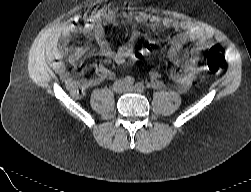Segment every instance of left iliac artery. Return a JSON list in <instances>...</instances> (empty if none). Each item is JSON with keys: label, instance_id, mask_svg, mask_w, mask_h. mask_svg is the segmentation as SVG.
<instances>
[{"label": "left iliac artery", "instance_id": "obj_1", "mask_svg": "<svg viewBox=\"0 0 251 192\" xmlns=\"http://www.w3.org/2000/svg\"><path fill=\"white\" fill-rule=\"evenodd\" d=\"M144 84L143 83H136L135 84V89L138 91V92H142L144 90Z\"/></svg>", "mask_w": 251, "mask_h": 192}]
</instances>
